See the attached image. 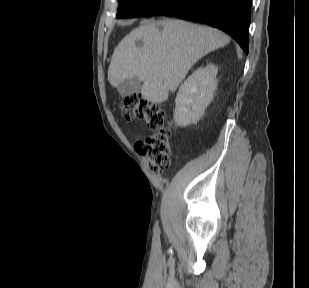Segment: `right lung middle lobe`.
<instances>
[{"label":"right lung middle lobe","mask_w":309,"mask_h":288,"mask_svg":"<svg viewBox=\"0 0 309 288\" xmlns=\"http://www.w3.org/2000/svg\"><path fill=\"white\" fill-rule=\"evenodd\" d=\"M163 0H118L117 18L138 17L152 9Z\"/></svg>","instance_id":"obj_1"}]
</instances>
